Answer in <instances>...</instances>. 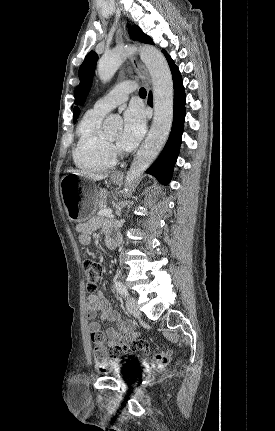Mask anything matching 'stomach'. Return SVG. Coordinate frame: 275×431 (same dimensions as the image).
<instances>
[{
	"instance_id": "obj_1",
	"label": "stomach",
	"mask_w": 275,
	"mask_h": 431,
	"mask_svg": "<svg viewBox=\"0 0 275 431\" xmlns=\"http://www.w3.org/2000/svg\"><path fill=\"white\" fill-rule=\"evenodd\" d=\"M88 177L74 173L65 175L60 183V192L68 218L74 222L87 220L96 206V190L84 184ZM121 178L112 177V182L118 184Z\"/></svg>"
}]
</instances>
